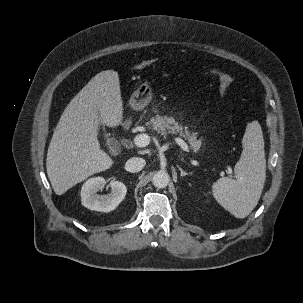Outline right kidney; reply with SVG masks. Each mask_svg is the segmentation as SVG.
<instances>
[{
	"mask_svg": "<svg viewBox=\"0 0 303 303\" xmlns=\"http://www.w3.org/2000/svg\"><path fill=\"white\" fill-rule=\"evenodd\" d=\"M111 193L99 196L97 192L105 186L102 177L88 179L81 188L82 205L90 210L110 212L125 198L127 187L119 181L110 182Z\"/></svg>",
	"mask_w": 303,
	"mask_h": 303,
	"instance_id": "right-kidney-1",
	"label": "right kidney"
}]
</instances>
